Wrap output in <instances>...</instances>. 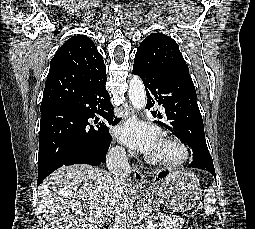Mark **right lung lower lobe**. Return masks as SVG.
<instances>
[{"label": "right lung lower lobe", "mask_w": 255, "mask_h": 229, "mask_svg": "<svg viewBox=\"0 0 255 229\" xmlns=\"http://www.w3.org/2000/svg\"><path fill=\"white\" fill-rule=\"evenodd\" d=\"M106 79L104 69L94 76L84 92L73 101L41 110V122L73 114L82 120L83 130L79 132L61 163L52 167L38 164V185L61 166L72 164L99 166L106 162V153L112 140L107 126L119 122L113 117V106L105 88ZM96 113L102 117V120L95 121L93 125L88 123V119L94 118Z\"/></svg>", "instance_id": "obj_1"}]
</instances>
